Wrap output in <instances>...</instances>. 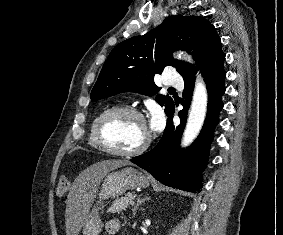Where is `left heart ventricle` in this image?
Wrapping results in <instances>:
<instances>
[{
    "mask_svg": "<svg viewBox=\"0 0 283 235\" xmlns=\"http://www.w3.org/2000/svg\"><path fill=\"white\" fill-rule=\"evenodd\" d=\"M146 134V126L138 118L130 115L110 120L103 129L106 143L121 151L137 148L145 140Z\"/></svg>",
    "mask_w": 283,
    "mask_h": 235,
    "instance_id": "left-heart-ventricle-1",
    "label": "left heart ventricle"
}]
</instances>
